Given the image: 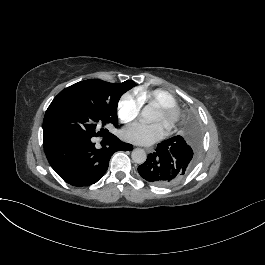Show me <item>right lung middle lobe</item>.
Segmentation results:
<instances>
[{"label":"right lung middle lobe","instance_id":"obj_1","mask_svg":"<svg viewBox=\"0 0 265 265\" xmlns=\"http://www.w3.org/2000/svg\"><path fill=\"white\" fill-rule=\"evenodd\" d=\"M136 83H109L89 79L62 90L48 107L43 121V145L68 138H92L110 132L104 126L117 127L120 97Z\"/></svg>","mask_w":265,"mask_h":265}]
</instances>
